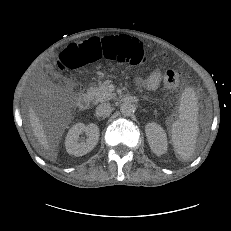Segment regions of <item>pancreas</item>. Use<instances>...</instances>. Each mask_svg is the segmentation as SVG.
I'll return each mask as SVG.
<instances>
[{"mask_svg":"<svg viewBox=\"0 0 231 231\" xmlns=\"http://www.w3.org/2000/svg\"><path fill=\"white\" fill-rule=\"evenodd\" d=\"M110 81H105L102 85L95 88L92 87L87 91V95L93 103L109 101L110 99L115 98L116 94L108 90V84Z\"/></svg>","mask_w":231,"mask_h":231,"instance_id":"cf45deb5","label":"pancreas"}]
</instances>
